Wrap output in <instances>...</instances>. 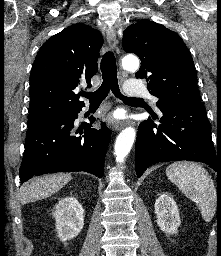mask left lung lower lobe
<instances>
[{
  "label": "left lung lower lobe",
  "mask_w": 221,
  "mask_h": 256,
  "mask_svg": "<svg viewBox=\"0 0 221 256\" xmlns=\"http://www.w3.org/2000/svg\"><path fill=\"white\" fill-rule=\"evenodd\" d=\"M157 130L151 118L140 123L135 147L137 177L152 164L191 160L210 165L221 174V156L211 138V126L204 106L167 105ZM155 119V118H154Z\"/></svg>",
  "instance_id": "obj_1"
}]
</instances>
